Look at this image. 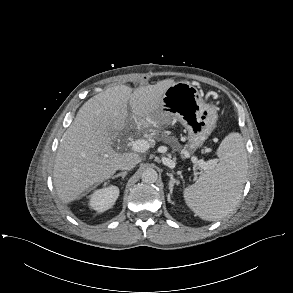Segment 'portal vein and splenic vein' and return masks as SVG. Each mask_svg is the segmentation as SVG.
Segmentation results:
<instances>
[{"label":"portal vein and splenic vein","mask_w":293,"mask_h":293,"mask_svg":"<svg viewBox=\"0 0 293 293\" xmlns=\"http://www.w3.org/2000/svg\"><path fill=\"white\" fill-rule=\"evenodd\" d=\"M131 148L133 151H136V152H145L150 148V144L148 141L144 139H138L131 143ZM192 162L196 166H199L204 170L208 169L211 165H213L212 161L205 162L203 160H198L196 157H192ZM169 166L173 168V163H170Z\"/></svg>","instance_id":"obj_1"}]
</instances>
